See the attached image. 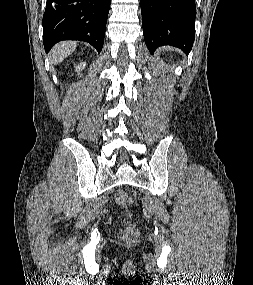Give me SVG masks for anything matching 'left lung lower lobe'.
<instances>
[{
	"mask_svg": "<svg viewBox=\"0 0 253 285\" xmlns=\"http://www.w3.org/2000/svg\"><path fill=\"white\" fill-rule=\"evenodd\" d=\"M145 43L151 53L171 45L189 53L195 38V0H141Z\"/></svg>",
	"mask_w": 253,
	"mask_h": 285,
	"instance_id": "left-lung-lower-lobe-1",
	"label": "left lung lower lobe"
}]
</instances>
